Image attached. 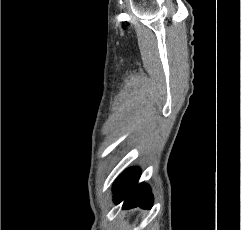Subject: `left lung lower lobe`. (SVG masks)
<instances>
[{"label":"left lung lower lobe","mask_w":241,"mask_h":230,"mask_svg":"<svg viewBox=\"0 0 241 230\" xmlns=\"http://www.w3.org/2000/svg\"><path fill=\"white\" fill-rule=\"evenodd\" d=\"M139 177L140 170L138 168H130L121 174L114 183L115 201L119 203L125 199L124 209L136 207L137 204L146 209H150L152 206L153 195L150 188L146 184L136 185Z\"/></svg>","instance_id":"0a47b994"}]
</instances>
